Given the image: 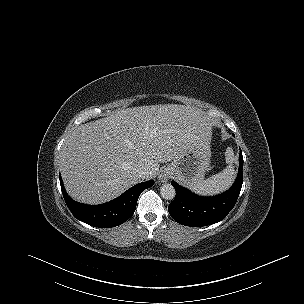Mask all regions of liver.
<instances>
[{
  "label": "liver",
  "instance_id": "obj_1",
  "mask_svg": "<svg viewBox=\"0 0 304 304\" xmlns=\"http://www.w3.org/2000/svg\"><path fill=\"white\" fill-rule=\"evenodd\" d=\"M211 121L200 111L165 104L118 110L78 126L64 143L61 176L77 201L100 204L141 182L139 167L155 178L159 163L178 158L194 145L209 148Z\"/></svg>",
  "mask_w": 304,
  "mask_h": 304
}]
</instances>
